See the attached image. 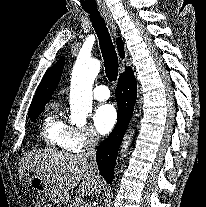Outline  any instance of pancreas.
<instances>
[{
  "instance_id": "pancreas-1",
  "label": "pancreas",
  "mask_w": 206,
  "mask_h": 207,
  "mask_svg": "<svg viewBox=\"0 0 206 207\" xmlns=\"http://www.w3.org/2000/svg\"><path fill=\"white\" fill-rule=\"evenodd\" d=\"M68 207H85L84 202L78 198H72Z\"/></svg>"
}]
</instances>
